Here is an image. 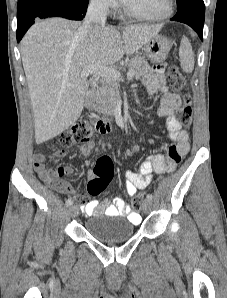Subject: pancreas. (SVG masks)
Segmentation results:
<instances>
[{
	"label": "pancreas",
	"instance_id": "1",
	"mask_svg": "<svg viewBox=\"0 0 227 298\" xmlns=\"http://www.w3.org/2000/svg\"><path fill=\"white\" fill-rule=\"evenodd\" d=\"M126 67L134 71L136 79H139L150 69L147 61L141 56L132 58ZM96 95L95 111L99 114L111 115L120 100L119 84L116 81L102 79Z\"/></svg>",
	"mask_w": 227,
	"mask_h": 298
}]
</instances>
